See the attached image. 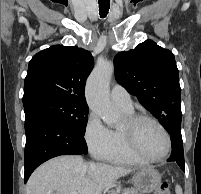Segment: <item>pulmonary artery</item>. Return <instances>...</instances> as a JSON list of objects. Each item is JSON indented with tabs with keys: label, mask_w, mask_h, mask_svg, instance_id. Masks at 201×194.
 Segmentation results:
<instances>
[{
	"label": "pulmonary artery",
	"mask_w": 201,
	"mask_h": 194,
	"mask_svg": "<svg viewBox=\"0 0 201 194\" xmlns=\"http://www.w3.org/2000/svg\"><path fill=\"white\" fill-rule=\"evenodd\" d=\"M110 98L112 103L118 108L125 110L133 109V103L130 94L124 87L118 84L112 87L110 92Z\"/></svg>",
	"instance_id": "e3ab8cb5"
}]
</instances>
